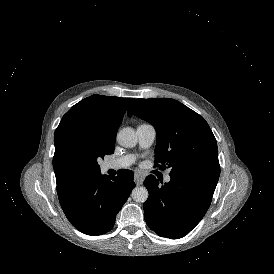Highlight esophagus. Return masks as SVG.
Instances as JSON below:
<instances>
[{
	"label": "esophagus",
	"mask_w": 274,
	"mask_h": 274,
	"mask_svg": "<svg viewBox=\"0 0 274 274\" xmlns=\"http://www.w3.org/2000/svg\"><path fill=\"white\" fill-rule=\"evenodd\" d=\"M143 180H144L143 175L140 174L139 172H136L134 176V182L137 185H141L143 183Z\"/></svg>",
	"instance_id": "obj_1"
}]
</instances>
